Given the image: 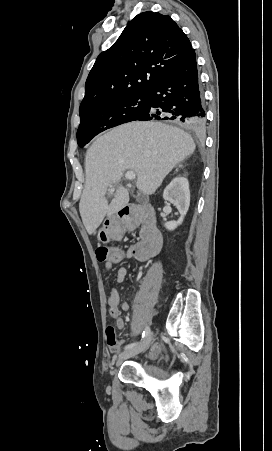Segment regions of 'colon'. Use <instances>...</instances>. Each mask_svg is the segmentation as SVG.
Returning <instances> with one entry per match:
<instances>
[{
	"label": "colon",
	"instance_id": "obj_1",
	"mask_svg": "<svg viewBox=\"0 0 272 451\" xmlns=\"http://www.w3.org/2000/svg\"><path fill=\"white\" fill-rule=\"evenodd\" d=\"M120 254L121 249L119 247H110L109 249H105V247H99L96 254V261L106 262L107 258H114V256H119ZM105 332L108 346H116L117 337L115 325L111 323L107 324Z\"/></svg>",
	"mask_w": 272,
	"mask_h": 451
}]
</instances>
